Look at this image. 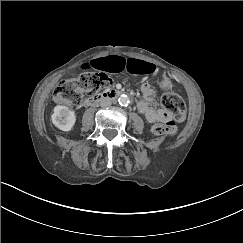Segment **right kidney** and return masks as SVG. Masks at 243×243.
Listing matches in <instances>:
<instances>
[{
	"mask_svg": "<svg viewBox=\"0 0 243 243\" xmlns=\"http://www.w3.org/2000/svg\"><path fill=\"white\" fill-rule=\"evenodd\" d=\"M76 120L75 109L60 104L54 106L51 121L55 128L61 131H71Z\"/></svg>",
	"mask_w": 243,
	"mask_h": 243,
	"instance_id": "ca27d5eb",
	"label": "right kidney"
}]
</instances>
